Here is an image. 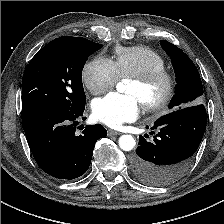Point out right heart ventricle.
I'll return each mask as SVG.
<instances>
[{"label": "right heart ventricle", "instance_id": "1", "mask_svg": "<svg viewBox=\"0 0 224 224\" xmlns=\"http://www.w3.org/2000/svg\"><path fill=\"white\" fill-rule=\"evenodd\" d=\"M113 62L122 78L139 76L166 66L160 54L143 46L116 48Z\"/></svg>", "mask_w": 224, "mask_h": 224}]
</instances>
